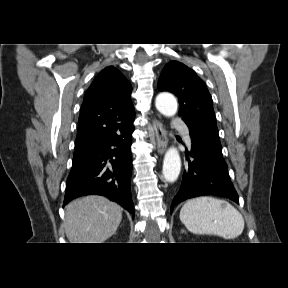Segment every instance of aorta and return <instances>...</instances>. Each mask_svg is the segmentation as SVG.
Segmentation results:
<instances>
[{"label": "aorta", "instance_id": "1", "mask_svg": "<svg viewBox=\"0 0 288 288\" xmlns=\"http://www.w3.org/2000/svg\"><path fill=\"white\" fill-rule=\"evenodd\" d=\"M156 108L164 116L171 117L177 112V101L169 93H161L156 97ZM181 159L176 148L171 147L167 150L163 161V175L166 181L175 182L180 174Z\"/></svg>", "mask_w": 288, "mask_h": 288}]
</instances>
